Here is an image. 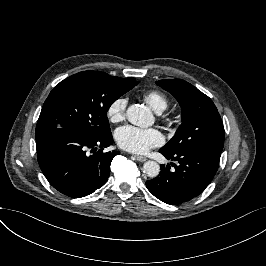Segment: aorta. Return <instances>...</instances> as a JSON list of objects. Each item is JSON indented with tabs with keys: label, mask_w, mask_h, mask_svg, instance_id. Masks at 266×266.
Segmentation results:
<instances>
[{
	"label": "aorta",
	"mask_w": 266,
	"mask_h": 266,
	"mask_svg": "<svg viewBox=\"0 0 266 266\" xmlns=\"http://www.w3.org/2000/svg\"><path fill=\"white\" fill-rule=\"evenodd\" d=\"M126 119L133 125L148 127L153 124L152 113L142 105L131 104L126 110ZM143 172L149 178H156L160 173V165L155 161H147L143 165Z\"/></svg>",
	"instance_id": "1"
}]
</instances>
